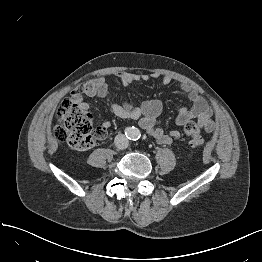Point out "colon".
<instances>
[{
  "mask_svg": "<svg viewBox=\"0 0 262 262\" xmlns=\"http://www.w3.org/2000/svg\"><path fill=\"white\" fill-rule=\"evenodd\" d=\"M58 123L51 129L58 141H66L73 149L84 150L93 143L92 113L80 100L64 97L57 110ZM183 135L189 138V146L199 149L203 143L198 124L187 121L180 126Z\"/></svg>",
  "mask_w": 262,
  "mask_h": 262,
  "instance_id": "1",
  "label": "colon"
}]
</instances>
